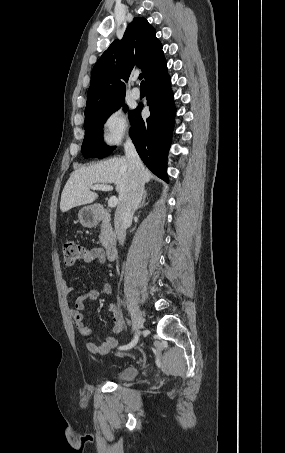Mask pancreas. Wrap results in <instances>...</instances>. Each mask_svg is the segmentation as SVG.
I'll list each match as a JSON object with an SVG mask.
<instances>
[{"label":"pancreas","instance_id":"cf45deb5","mask_svg":"<svg viewBox=\"0 0 285 453\" xmlns=\"http://www.w3.org/2000/svg\"><path fill=\"white\" fill-rule=\"evenodd\" d=\"M112 234V228L110 224L103 222L101 225V233L99 235L100 242L106 244Z\"/></svg>","mask_w":285,"mask_h":453}]
</instances>
